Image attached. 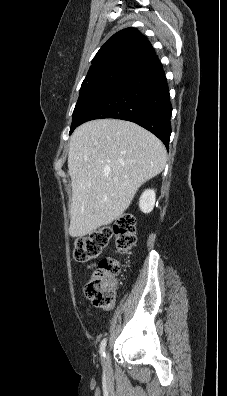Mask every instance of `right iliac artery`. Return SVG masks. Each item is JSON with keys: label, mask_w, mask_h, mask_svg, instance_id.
Here are the masks:
<instances>
[{"label": "right iliac artery", "mask_w": 227, "mask_h": 396, "mask_svg": "<svg viewBox=\"0 0 227 396\" xmlns=\"http://www.w3.org/2000/svg\"><path fill=\"white\" fill-rule=\"evenodd\" d=\"M106 342H107V339L105 338V339L102 340V342H101V344H100V354H101V357H105Z\"/></svg>", "instance_id": "right-iliac-artery-1"}]
</instances>
